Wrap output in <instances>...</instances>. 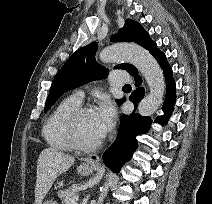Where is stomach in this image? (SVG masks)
Masks as SVG:
<instances>
[{
	"mask_svg": "<svg viewBox=\"0 0 212 204\" xmlns=\"http://www.w3.org/2000/svg\"><path fill=\"white\" fill-rule=\"evenodd\" d=\"M94 171V166L93 165H87L83 164L80 167H78V172L80 175L86 176L92 174ZM43 204H57L55 201H45Z\"/></svg>",
	"mask_w": 212,
	"mask_h": 204,
	"instance_id": "1",
	"label": "stomach"
}]
</instances>
